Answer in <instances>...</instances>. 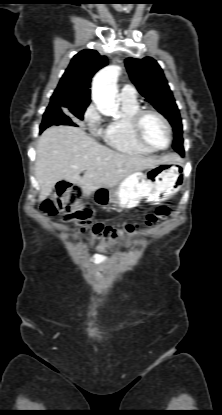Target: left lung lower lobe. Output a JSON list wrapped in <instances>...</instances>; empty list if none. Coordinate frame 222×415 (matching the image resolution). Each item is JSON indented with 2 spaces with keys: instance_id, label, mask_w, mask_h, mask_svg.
I'll return each mask as SVG.
<instances>
[{
  "instance_id": "1",
  "label": "left lung lower lobe",
  "mask_w": 222,
  "mask_h": 415,
  "mask_svg": "<svg viewBox=\"0 0 222 415\" xmlns=\"http://www.w3.org/2000/svg\"><path fill=\"white\" fill-rule=\"evenodd\" d=\"M181 156H183L184 155V153H182V154H180Z\"/></svg>"
}]
</instances>
